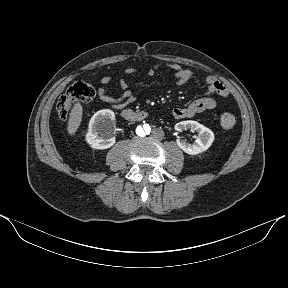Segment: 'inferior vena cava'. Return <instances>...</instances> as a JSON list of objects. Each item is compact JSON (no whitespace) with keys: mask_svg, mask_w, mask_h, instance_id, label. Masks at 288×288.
<instances>
[{"mask_svg":"<svg viewBox=\"0 0 288 288\" xmlns=\"http://www.w3.org/2000/svg\"><path fill=\"white\" fill-rule=\"evenodd\" d=\"M151 138H152V140L155 141V142H161V141H163L164 138H165V133H164V131L161 130V129H155V130H153L152 133H151Z\"/></svg>","mask_w":288,"mask_h":288,"instance_id":"inferior-vena-cava-1","label":"inferior vena cava"}]
</instances>
